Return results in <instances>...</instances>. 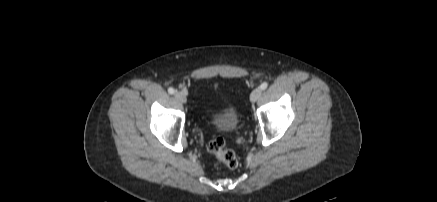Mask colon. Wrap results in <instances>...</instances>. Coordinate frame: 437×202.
<instances>
[{
  "label": "colon",
  "instance_id": "obj_1",
  "mask_svg": "<svg viewBox=\"0 0 437 202\" xmlns=\"http://www.w3.org/2000/svg\"><path fill=\"white\" fill-rule=\"evenodd\" d=\"M206 149L210 154L216 156L227 168L236 169L239 165L236 154L227 149L225 140L222 137H213L206 145Z\"/></svg>",
  "mask_w": 437,
  "mask_h": 202
}]
</instances>
